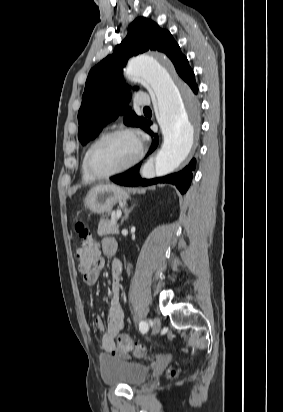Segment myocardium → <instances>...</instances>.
<instances>
[{"mask_svg": "<svg viewBox=\"0 0 283 412\" xmlns=\"http://www.w3.org/2000/svg\"><path fill=\"white\" fill-rule=\"evenodd\" d=\"M122 134H126V135H131L133 137H135L138 141L139 144V149H138V153L135 156V158L129 162L128 164H126L125 166L113 170L111 172L108 173H98L96 172L91 164V158L92 155L95 151V149L100 146L103 142L107 141L108 139L116 136V135H122ZM144 145L143 142L141 141L140 137L138 136V134L131 128H127V127H122V128H116L113 130H110L106 133H104L103 135H101L100 137H98L89 147L87 153H86V157H85V165L87 168V171L89 172V174L94 178V179H107L110 178L114 175L120 174L124 171L129 170L130 168L134 167L138 162H140V160L143 158L144 155Z\"/></svg>", "mask_w": 283, "mask_h": 412, "instance_id": "myocardium-1", "label": "myocardium"}]
</instances>
